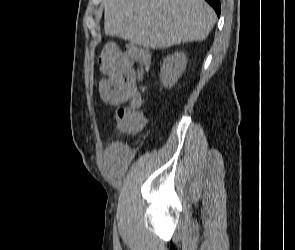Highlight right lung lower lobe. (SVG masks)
Returning a JSON list of instances; mask_svg holds the SVG:
<instances>
[{
	"mask_svg": "<svg viewBox=\"0 0 295 250\" xmlns=\"http://www.w3.org/2000/svg\"><path fill=\"white\" fill-rule=\"evenodd\" d=\"M216 11L217 15L220 16V0H206Z\"/></svg>",
	"mask_w": 295,
	"mask_h": 250,
	"instance_id": "1",
	"label": "right lung lower lobe"
}]
</instances>
